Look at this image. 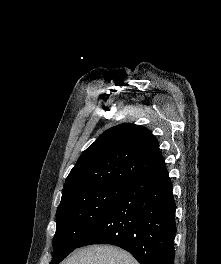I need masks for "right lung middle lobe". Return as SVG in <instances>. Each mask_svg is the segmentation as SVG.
Here are the masks:
<instances>
[{
    "label": "right lung middle lobe",
    "mask_w": 221,
    "mask_h": 264,
    "mask_svg": "<svg viewBox=\"0 0 221 264\" xmlns=\"http://www.w3.org/2000/svg\"><path fill=\"white\" fill-rule=\"evenodd\" d=\"M125 187L126 184H100L61 200L56 211L54 257L50 264H58L79 247L105 218Z\"/></svg>",
    "instance_id": "obj_1"
}]
</instances>
